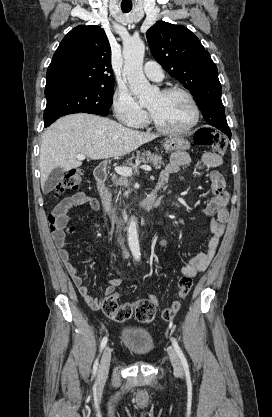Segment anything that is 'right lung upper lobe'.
I'll list each match as a JSON object with an SVG mask.
<instances>
[{
    "label": "right lung upper lobe",
    "mask_w": 272,
    "mask_h": 417,
    "mask_svg": "<svg viewBox=\"0 0 272 417\" xmlns=\"http://www.w3.org/2000/svg\"><path fill=\"white\" fill-rule=\"evenodd\" d=\"M45 91L114 85L111 49L102 28L77 26L61 41L46 75Z\"/></svg>",
    "instance_id": "cb5924a9"
}]
</instances>
